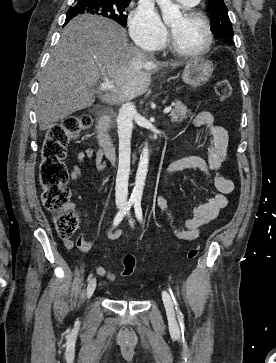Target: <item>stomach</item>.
I'll return each mask as SVG.
<instances>
[{
  "label": "stomach",
  "mask_w": 276,
  "mask_h": 363,
  "mask_svg": "<svg viewBox=\"0 0 276 363\" xmlns=\"http://www.w3.org/2000/svg\"><path fill=\"white\" fill-rule=\"evenodd\" d=\"M213 63L205 59L189 60L183 70V81L193 88L204 85L213 73Z\"/></svg>",
  "instance_id": "stomach-1"
}]
</instances>
